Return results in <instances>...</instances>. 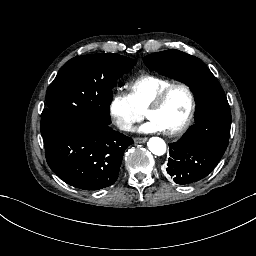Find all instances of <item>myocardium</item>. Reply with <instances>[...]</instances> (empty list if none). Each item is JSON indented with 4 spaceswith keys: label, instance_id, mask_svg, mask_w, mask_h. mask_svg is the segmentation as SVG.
<instances>
[{
    "label": "myocardium",
    "instance_id": "f54148a6",
    "mask_svg": "<svg viewBox=\"0 0 256 256\" xmlns=\"http://www.w3.org/2000/svg\"><path fill=\"white\" fill-rule=\"evenodd\" d=\"M174 86H179V87L183 88L186 91V93L189 96L190 107H189V111H188V114L185 117V119L178 126L173 128L169 132L170 135L178 134V133H181L182 131H184L188 127L190 121L192 120V118L194 116V112H195V99H194V96H193V93H192L190 87L183 80L178 79L174 85L168 86L159 95V97L146 109V115L149 116V117H152V115H151L152 111L157 109V108H159V107H161L164 104L165 100L167 99L170 91L172 90V88Z\"/></svg>",
    "mask_w": 256,
    "mask_h": 256
}]
</instances>
